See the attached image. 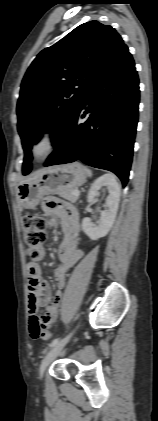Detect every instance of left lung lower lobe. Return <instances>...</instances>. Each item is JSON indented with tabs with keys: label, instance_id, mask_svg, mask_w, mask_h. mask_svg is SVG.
Segmentation results:
<instances>
[{
	"label": "left lung lower lobe",
	"instance_id": "1",
	"mask_svg": "<svg viewBox=\"0 0 158 421\" xmlns=\"http://www.w3.org/2000/svg\"><path fill=\"white\" fill-rule=\"evenodd\" d=\"M138 105L139 79L128 47L123 45L87 90L44 166L78 159L115 173L126 186Z\"/></svg>",
	"mask_w": 158,
	"mask_h": 421
}]
</instances>
